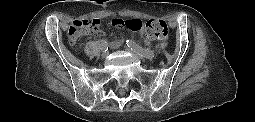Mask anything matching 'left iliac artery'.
I'll return each mask as SVG.
<instances>
[{
	"instance_id": "obj_1",
	"label": "left iliac artery",
	"mask_w": 255,
	"mask_h": 122,
	"mask_svg": "<svg viewBox=\"0 0 255 122\" xmlns=\"http://www.w3.org/2000/svg\"><path fill=\"white\" fill-rule=\"evenodd\" d=\"M126 44L128 47L132 48L133 50L137 51L142 56H144L148 59H153L155 56L153 51H151L149 49H143L142 47H140L139 45H137L135 42H133L131 40H126Z\"/></svg>"
}]
</instances>
